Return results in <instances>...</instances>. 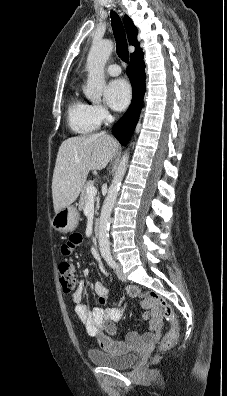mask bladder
Masks as SVG:
<instances>
[{
  "label": "bladder",
  "mask_w": 227,
  "mask_h": 396,
  "mask_svg": "<svg viewBox=\"0 0 227 396\" xmlns=\"http://www.w3.org/2000/svg\"><path fill=\"white\" fill-rule=\"evenodd\" d=\"M89 361L97 366L110 367L118 370H126L132 367L137 361L134 353H114L100 349L88 351Z\"/></svg>",
  "instance_id": "1"
}]
</instances>
